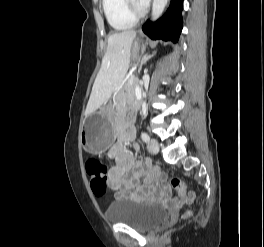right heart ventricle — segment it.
Listing matches in <instances>:
<instances>
[{
  "instance_id": "e07e8e85",
  "label": "right heart ventricle",
  "mask_w": 264,
  "mask_h": 247,
  "mask_svg": "<svg viewBox=\"0 0 264 247\" xmlns=\"http://www.w3.org/2000/svg\"><path fill=\"white\" fill-rule=\"evenodd\" d=\"M103 11L109 24L116 30H127L136 24L127 9L126 0H102Z\"/></svg>"
}]
</instances>
